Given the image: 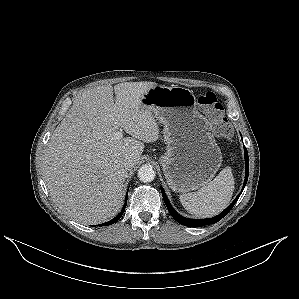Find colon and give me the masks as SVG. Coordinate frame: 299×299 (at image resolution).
Instances as JSON below:
<instances>
[{"instance_id": "colon-1", "label": "colon", "mask_w": 299, "mask_h": 299, "mask_svg": "<svg viewBox=\"0 0 299 299\" xmlns=\"http://www.w3.org/2000/svg\"><path fill=\"white\" fill-rule=\"evenodd\" d=\"M197 102L201 110L213 125V131L218 137L228 138L232 134V126L224 114V108L212 92L198 96Z\"/></svg>"}]
</instances>
